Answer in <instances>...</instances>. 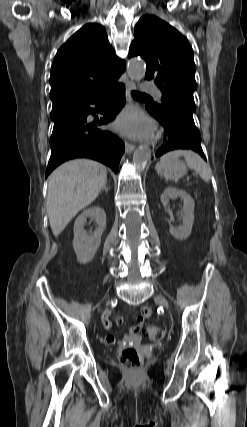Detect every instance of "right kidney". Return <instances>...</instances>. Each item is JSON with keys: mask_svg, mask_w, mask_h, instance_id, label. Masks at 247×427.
<instances>
[{"mask_svg": "<svg viewBox=\"0 0 247 427\" xmlns=\"http://www.w3.org/2000/svg\"><path fill=\"white\" fill-rule=\"evenodd\" d=\"M94 219L97 228L89 235L84 230L87 218ZM106 229V214L99 206L88 208L80 214L74 224L73 247L78 262L86 264L93 260L94 255L101 243V235Z\"/></svg>", "mask_w": 247, "mask_h": 427, "instance_id": "obj_1", "label": "right kidney"}]
</instances>
